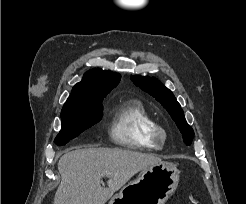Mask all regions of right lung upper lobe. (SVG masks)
Returning <instances> with one entry per match:
<instances>
[{
  "instance_id": "right-lung-upper-lobe-1",
  "label": "right lung upper lobe",
  "mask_w": 246,
  "mask_h": 204,
  "mask_svg": "<svg viewBox=\"0 0 246 204\" xmlns=\"http://www.w3.org/2000/svg\"><path fill=\"white\" fill-rule=\"evenodd\" d=\"M118 73L102 69L87 71L77 83L64 105L82 103L89 98L106 96L120 81Z\"/></svg>"
}]
</instances>
